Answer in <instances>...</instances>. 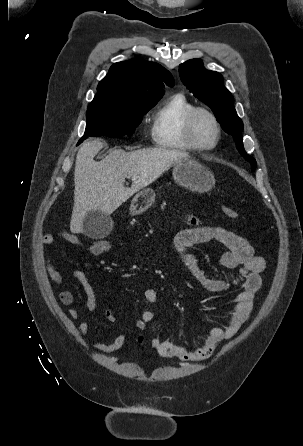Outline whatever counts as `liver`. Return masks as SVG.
<instances>
[{
    "label": "liver",
    "mask_w": 303,
    "mask_h": 446,
    "mask_svg": "<svg viewBox=\"0 0 303 446\" xmlns=\"http://www.w3.org/2000/svg\"><path fill=\"white\" fill-rule=\"evenodd\" d=\"M103 148L100 139L88 140L78 150L74 171V207L70 222L72 233L83 231L88 212L107 215L114 212L140 189L158 179L172 164L188 158V154L168 149H140L126 152L111 151L97 162L95 155ZM126 178L133 180L125 187Z\"/></svg>",
    "instance_id": "6515ba94"
}]
</instances>
